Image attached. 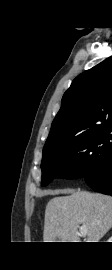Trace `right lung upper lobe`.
<instances>
[{"label":"right lung upper lobe","mask_w":112,"mask_h":270,"mask_svg":"<svg viewBox=\"0 0 112 270\" xmlns=\"http://www.w3.org/2000/svg\"><path fill=\"white\" fill-rule=\"evenodd\" d=\"M106 125H112V56L73 80L44 149Z\"/></svg>","instance_id":"obj_1"}]
</instances>
